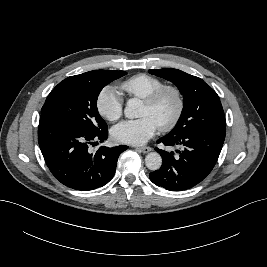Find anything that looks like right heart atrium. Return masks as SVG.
<instances>
[{
    "instance_id": "1",
    "label": "right heart atrium",
    "mask_w": 267,
    "mask_h": 267,
    "mask_svg": "<svg viewBox=\"0 0 267 267\" xmlns=\"http://www.w3.org/2000/svg\"><path fill=\"white\" fill-rule=\"evenodd\" d=\"M99 114L108 121H117L123 114V99L112 86L104 87L96 99Z\"/></svg>"
}]
</instances>
